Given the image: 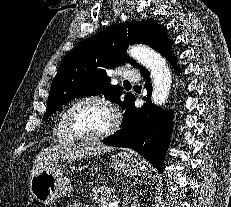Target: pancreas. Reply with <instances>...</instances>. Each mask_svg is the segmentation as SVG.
I'll list each match as a JSON object with an SVG mask.
<instances>
[{"label":"pancreas","mask_w":231,"mask_h":207,"mask_svg":"<svg viewBox=\"0 0 231 207\" xmlns=\"http://www.w3.org/2000/svg\"><path fill=\"white\" fill-rule=\"evenodd\" d=\"M114 194V190L107 186L95 187L90 190L87 194V198L92 203H102L104 201L110 202L112 200V195Z\"/></svg>","instance_id":"cf45deb5"}]
</instances>
